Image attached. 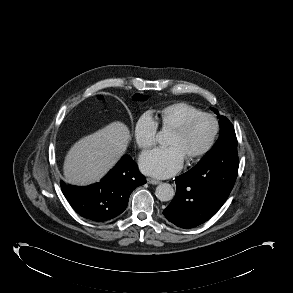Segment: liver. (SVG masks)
I'll return each mask as SVG.
<instances>
[{
    "label": "liver",
    "instance_id": "liver-1",
    "mask_svg": "<svg viewBox=\"0 0 293 293\" xmlns=\"http://www.w3.org/2000/svg\"><path fill=\"white\" fill-rule=\"evenodd\" d=\"M130 139L128 127L119 121L80 139L65 157V181L74 185L99 181L125 153Z\"/></svg>",
    "mask_w": 293,
    "mask_h": 293
}]
</instances>
